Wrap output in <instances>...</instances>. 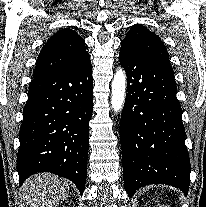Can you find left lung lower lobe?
Masks as SVG:
<instances>
[{
  "label": "left lung lower lobe",
  "instance_id": "0a47b994",
  "mask_svg": "<svg viewBox=\"0 0 206 207\" xmlns=\"http://www.w3.org/2000/svg\"><path fill=\"white\" fill-rule=\"evenodd\" d=\"M119 59L127 74L120 120L126 192L165 184L187 195L191 168L173 69L124 49Z\"/></svg>",
  "mask_w": 206,
  "mask_h": 207
}]
</instances>
